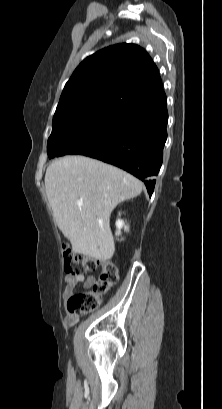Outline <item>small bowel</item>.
I'll return each mask as SVG.
<instances>
[{"mask_svg": "<svg viewBox=\"0 0 222 409\" xmlns=\"http://www.w3.org/2000/svg\"><path fill=\"white\" fill-rule=\"evenodd\" d=\"M95 282L92 275L84 276L82 274H67L64 278L65 287L62 292L63 299H69L75 292L76 287L81 283L84 289H89ZM79 318L76 315L68 314L65 317V323L68 326H73L78 322Z\"/></svg>", "mask_w": 222, "mask_h": 409, "instance_id": "obj_1", "label": "small bowel"}]
</instances>
